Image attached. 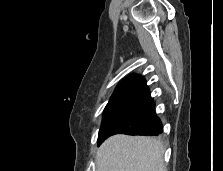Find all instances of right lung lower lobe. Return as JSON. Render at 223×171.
<instances>
[{"mask_svg":"<svg viewBox=\"0 0 223 171\" xmlns=\"http://www.w3.org/2000/svg\"><path fill=\"white\" fill-rule=\"evenodd\" d=\"M162 132V123L155 114V103L148 92L136 99L134 103L108 127L103 137L98 141V145L114 134L156 136Z\"/></svg>","mask_w":223,"mask_h":171,"instance_id":"1","label":"right lung lower lobe"}]
</instances>
